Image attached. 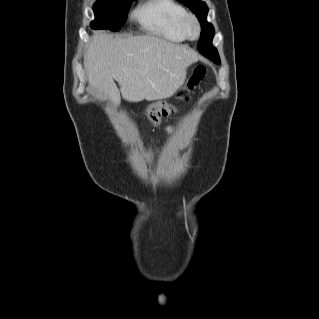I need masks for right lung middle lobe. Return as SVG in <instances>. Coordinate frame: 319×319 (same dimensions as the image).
<instances>
[{"instance_id": "1", "label": "right lung middle lobe", "mask_w": 319, "mask_h": 319, "mask_svg": "<svg viewBox=\"0 0 319 319\" xmlns=\"http://www.w3.org/2000/svg\"><path fill=\"white\" fill-rule=\"evenodd\" d=\"M134 0H98L93 10L95 20L91 22L93 29H109L118 31L124 25L130 3Z\"/></svg>"}]
</instances>
